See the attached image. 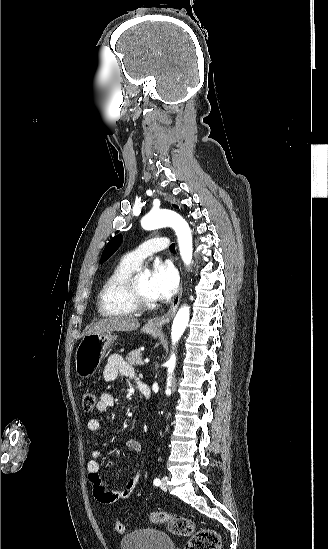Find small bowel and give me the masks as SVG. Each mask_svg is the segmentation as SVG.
Returning a JSON list of instances; mask_svg holds the SVG:
<instances>
[{
    "mask_svg": "<svg viewBox=\"0 0 328 549\" xmlns=\"http://www.w3.org/2000/svg\"><path fill=\"white\" fill-rule=\"evenodd\" d=\"M135 377L134 368L119 354H111L107 358V362L103 368V378L107 382L115 381L118 376ZM114 397L109 392H104L100 395L95 410L99 413L108 411L114 405ZM101 428L100 421L96 418H91L87 421V429L90 432H97ZM127 448L133 453L140 454L143 451L141 442L137 439L130 438L125 441ZM101 451L93 449L90 453V459L87 463V471L89 480L93 486L95 498L103 504H112L119 500L128 499L136 489L140 478L141 468L137 467L132 476L129 478L123 489H109L102 481L100 474L99 459ZM112 462H110V465Z\"/></svg>",
    "mask_w": 328,
    "mask_h": 549,
    "instance_id": "small-bowel-1",
    "label": "small bowel"
}]
</instances>
